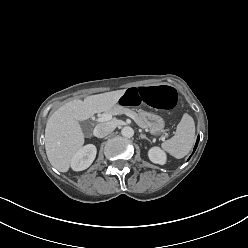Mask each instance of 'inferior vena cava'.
Returning <instances> with one entry per match:
<instances>
[{
  "label": "inferior vena cava",
  "mask_w": 248,
  "mask_h": 248,
  "mask_svg": "<svg viewBox=\"0 0 248 248\" xmlns=\"http://www.w3.org/2000/svg\"><path fill=\"white\" fill-rule=\"evenodd\" d=\"M114 130V126L111 123H100L94 129V135L98 138L106 137Z\"/></svg>",
  "instance_id": "inferior-vena-cava-1"
}]
</instances>
